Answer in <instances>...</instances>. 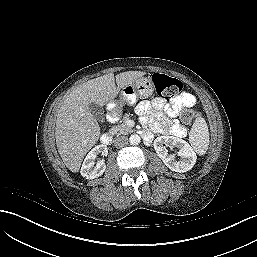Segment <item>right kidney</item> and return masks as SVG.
I'll list each match as a JSON object with an SVG mask.
<instances>
[{"instance_id": "obj_1", "label": "right kidney", "mask_w": 257, "mask_h": 257, "mask_svg": "<svg viewBox=\"0 0 257 257\" xmlns=\"http://www.w3.org/2000/svg\"><path fill=\"white\" fill-rule=\"evenodd\" d=\"M108 150L105 145L95 146L85 157L84 162L81 167V175L86 179H94L101 176L106 170V165L104 160H100L95 165V158L100 153L107 154Z\"/></svg>"}]
</instances>
